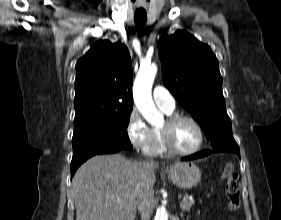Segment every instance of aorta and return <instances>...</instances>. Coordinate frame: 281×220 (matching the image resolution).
Masks as SVG:
<instances>
[{"label":"aorta","instance_id":"obj_1","mask_svg":"<svg viewBox=\"0 0 281 220\" xmlns=\"http://www.w3.org/2000/svg\"><path fill=\"white\" fill-rule=\"evenodd\" d=\"M157 73V65L152 63L141 66L133 85V99L141 115L151 125L163 121V115L156 108L152 98V86ZM155 220H168V212L164 206L157 209Z\"/></svg>","mask_w":281,"mask_h":220}]
</instances>
